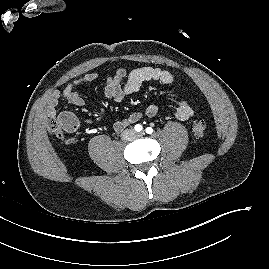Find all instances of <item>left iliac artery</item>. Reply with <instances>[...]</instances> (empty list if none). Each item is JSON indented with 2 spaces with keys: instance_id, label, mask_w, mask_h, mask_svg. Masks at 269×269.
Instances as JSON below:
<instances>
[{
  "instance_id": "left-iliac-artery-1",
  "label": "left iliac artery",
  "mask_w": 269,
  "mask_h": 269,
  "mask_svg": "<svg viewBox=\"0 0 269 269\" xmlns=\"http://www.w3.org/2000/svg\"><path fill=\"white\" fill-rule=\"evenodd\" d=\"M145 131H146L147 134H152L153 133V128L152 127H147Z\"/></svg>"
}]
</instances>
